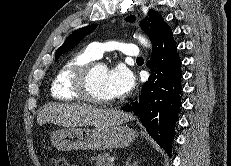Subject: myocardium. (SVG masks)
Returning <instances> with one entry per match:
<instances>
[{"label": "myocardium", "instance_id": "obj_1", "mask_svg": "<svg viewBox=\"0 0 231 166\" xmlns=\"http://www.w3.org/2000/svg\"><path fill=\"white\" fill-rule=\"evenodd\" d=\"M103 66L102 62L91 61L77 70L73 78V88L78 95L91 103L95 104H111L113 98H101L96 96L91 88V78L96 68Z\"/></svg>", "mask_w": 231, "mask_h": 166}]
</instances>
